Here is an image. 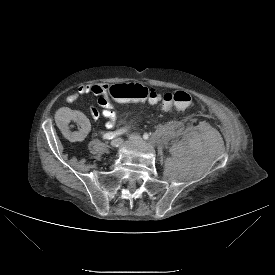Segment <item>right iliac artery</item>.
<instances>
[{
  "mask_svg": "<svg viewBox=\"0 0 275 275\" xmlns=\"http://www.w3.org/2000/svg\"><path fill=\"white\" fill-rule=\"evenodd\" d=\"M125 131H126L125 129H120V130L115 131V132H108V133L103 135V138L110 140V139H113L114 137H116L118 135L123 134Z\"/></svg>",
  "mask_w": 275,
  "mask_h": 275,
  "instance_id": "right-iliac-artery-1",
  "label": "right iliac artery"
}]
</instances>
